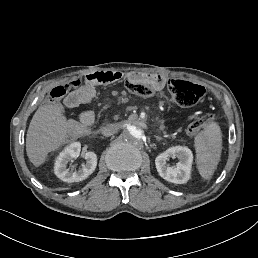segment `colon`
Instances as JSON below:
<instances>
[{
  "label": "colon",
  "instance_id": "5ec220e1",
  "mask_svg": "<svg viewBox=\"0 0 258 258\" xmlns=\"http://www.w3.org/2000/svg\"><path fill=\"white\" fill-rule=\"evenodd\" d=\"M82 84L83 83L80 79H75L70 83L59 85L53 88L49 95V101L53 103L62 99L68 91L71 89L79 88L82 86ZM126 87L131 93L142 97H150L157 93L155 85L135 79L127 81ZM167 87L172 99L177 104L184 107L195 105L203 98L205 94V89L202 86L181 79H168ZM211 120V115H205L196 118L188 126V133L190 135H196Z\"/></svg>",
  "mask_w": 258,
  "mask_h": 258
}]
</instances>
